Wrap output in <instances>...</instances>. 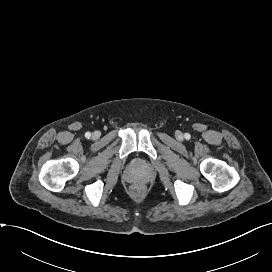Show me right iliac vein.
<instances>
[{
    "mask_svg": "<svg viewBox=\"0 0 272 272\" xmlns=\"http://www.w3.org/2000/svg\"><path fill=\"white\" fill-rule=\"evenodd\" d=\"M92 137H93L94 139L98 138V137H99V133H98V132H94L93 135H92Z\"/></svg>",
    "mask_w": 272,
    "mask_h": 272,
    "instance_id": "1",
    "label": "right iliac vein"
}]
</instances>
